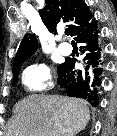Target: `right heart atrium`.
Instances as JSON below:
<instances>
[{
  "label": "right heart atrium",
  "instance_id": "obj_1",
  "mask_svg": "<svg viewBox=\"0 0 117 136\" xmlns=\"http://www.w3.org/2000/svg\"><path fill=\"white\" fill-rule=\"evenodd\" d=\"M21 81L27 92H42L51 86V73L44 63H35L24 69Z\"/></svg>",
  "mask_w": 117,
  "mask_h": 136
}]
</instances>
